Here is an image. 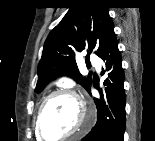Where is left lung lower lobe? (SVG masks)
<instances>
[{
  "label": "left lung lower lobe",
  "instance_id": "0a47b994",
  "mask_svg": "<svg viewBox=\"0 0 155 141\" xmlns=\"http://www.w3.org/2000/svg\"><path fill=\"white\" fill-rule=\"evenodd\" d=\"M99 57L105 63L104 74L108 78L104 81L106 88L100 90V99L94 98L97 107V122L82 141H123L125 131V90L124 70L118 49L116 36L108 41ZM91 94V90H88ZM115 100V102H114ZM118 100V103H116ZM116 103L114 108L112 106Z\"/></svg>",
  "mask_w": 155,
  "mask_h": 141
}]
</instances>
